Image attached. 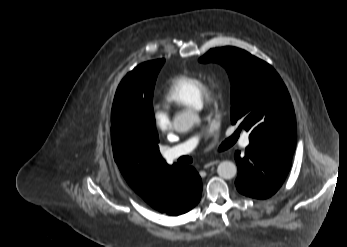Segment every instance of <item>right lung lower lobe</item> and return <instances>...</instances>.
I'll list each match as a JSON object with an SVG mask.
<instances>
[{
    "label": "right lung lower lobe",
    "mask_w": 347,
    "mask_h": 247,
    "mask_svg": "<svg viewBox=\"0 0 347 247\" xmlns=\"http://www.w3.org/2000/svg\"><path fill=\"white\" fill-rule=\"evenodd\" d=\"M180 176L178 178L175 196L169 208L161 213L178 216L195 207L200 201L202 194V181L196 170L187 165L179 166Z\"/></svg>",
    "instance_id": "98d812e1"
}]
</instances>
